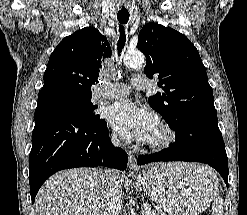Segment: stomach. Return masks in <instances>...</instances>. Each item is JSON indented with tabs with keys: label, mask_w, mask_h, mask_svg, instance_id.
I'll return each mask as SVG.
<instances>
[{
	"label": "stomach",
	"mask_w": 247,
	"mask_h": 215,
	"mask_svg": "<svg viewBox=\"0 0 247 215\" xmlns=\"http://www.w3.org/2000/svg\"><path fill=\"white\" fill-rule=\"evenodd\" d=\"M210 170L199 164L160 163L139 175L137 186L167 215H197L216 195L218 181Z\"/></svg>",
	"instance_id": "stomach-1"
}]
</instances>
